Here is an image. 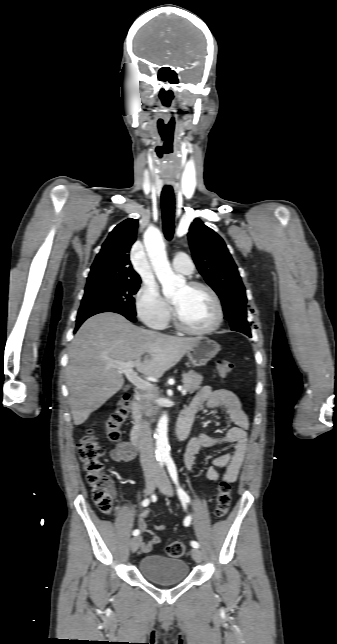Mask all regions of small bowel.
Listing matches in <instances>:
<instances>
[{
    "label": "small bowel",
    "mask_w": 337,
    "mask_h": 644,
    "mask_svg": "<svg viewBox=\"0 0 337 644\" xmlns=\"http://www.w3.org/2000/svg\"><path fill=\"white\" fill-rule=\"evenodd\" d=\"M202 406L208 409L224 407L234 426L220 436L201 433L191 438L184 453L186 468L190 470L193 467L195 457L202 448H209L222 443H234L233 451L213 458L212 466L207 472L208 479L213 482L225 480L233 483L238 477L247 451L248 417L242 410L238 397L227 389H213L211 386L202 387L182 413L188 414L193 420ZM136 453V448L131 442L123 441L110 451V457L115 462H129L135 458ZM217 468H225V473L221 476ZM147 518L148 512L142 509L137 516V526L142 533L149 536L148 539L141 540L139 547L143 553L151 552L153 547L160 543L161 539L156 532H162L167 529L165 524H157L153 530L148 529L146 525Z\"/></svg>",
    "instance_id": "1"
}]
</instances>
